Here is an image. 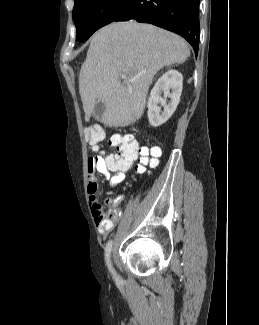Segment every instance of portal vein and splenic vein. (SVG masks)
I'll return each instance as SVG.
<instances>
[{"label": "portal vein and splenic vein", "mask_w": 259, "mask_h": 325, "mask_svg": "<svg viewBox=\"0 0 259 325\" xmlns=\"http://www.w3.org/2000/svg\"><path fill=\"white\" fill-rule=\"evenodd\" d=\"M121 78H122V80H124L126 83H131V82H133V81L135 80V79H128V78L126 77V75H122Z\"/></svg>", "instance_id": "portal-vein-and-splenic-vein-1"}]
</instances>
